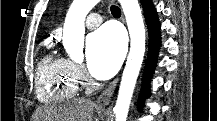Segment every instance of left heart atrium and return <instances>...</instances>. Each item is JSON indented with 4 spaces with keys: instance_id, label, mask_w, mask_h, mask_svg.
I'll use <instances>...</instances> for the list:
<instances>
[{
    "instance_id": "obj_1",
    "label": "left heart atrium",
    "mask_w": 217,
    "mask_h": 121,
    "mask_svg": "<svg viewBox=\"0 0 217 121\" xmlns=\"http://www.w3.org/2000/svg\"><path fill=\"white\" fill-rule=\"evenodd\" d=\"M126 41L122 30L107 24L87 39L86 57L91 74L98 79L111 77L119 68L125 54Z\"/></svg>"
}]
</instances>
